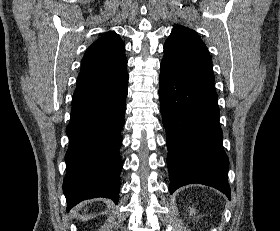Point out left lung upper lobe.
I'll use <instances>...</instances> for the list:
<instances>
[{
	"label": "left lung upper lobe",
	"mask_w": 280,
	"mask_h": 231,
	"mask_svg": "<svg viewBox=\"0 0 280 231\" xmlns=\"http://www.w3.org/2000/svg\"><path fill=\"white\" fill-rule=\"evenodd\" d=\"M161 69L174 77L214 80L211 56L201 38L183 26L173 28L164 45Z\"/></svg>",
	"instance_id": "left-lung-upper-lobe-1"
}]
</instances>
